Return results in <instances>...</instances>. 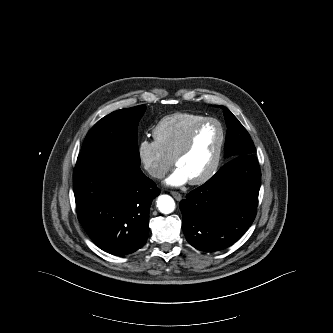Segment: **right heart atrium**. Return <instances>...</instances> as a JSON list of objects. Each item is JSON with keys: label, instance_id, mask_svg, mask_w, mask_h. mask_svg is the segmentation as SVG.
<instances>
[{"label": "right heart atrium", "instance_id": "d8ad5b80", "mask_svg": "<svg viewBox=\"0 0 333 333\" xmlns=\"http://www.w3.org/2000/svg\"><path fill=\"white\" fill-rule=\"evenodd\" d=\"M138 159L153 179H161L171 166V160L158 147L155 141L141 140L137 146Z\"/></svg>", "mask_w": 333, "mask_h": 333}]
</instances>
